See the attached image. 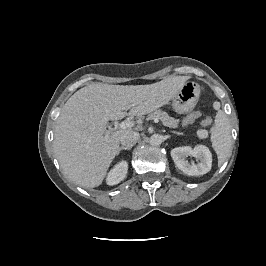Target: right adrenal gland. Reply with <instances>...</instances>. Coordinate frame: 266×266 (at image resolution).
I'll return each instance as SVG.
<instances>
[{
	"label": "right adrenal gland",
	"mask_w": 266,
	"mask_h": 266,
	"mask_svg": "<svg viewBox=\"0 0 266 266\" xmlns=\"http://www.w3.org/2000/svg\"><path fill=\"white\" fill-rule=\"evenodd\" d=\"M122 150H130V149H128V148L122 146V147H120V148L118 149L117 155H119V153H120Z\"/></svg>",
	"instance_id": "right-adrenal-gland-1"
}]
</instances>
